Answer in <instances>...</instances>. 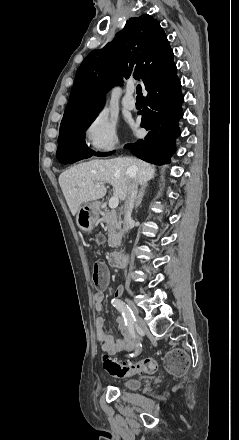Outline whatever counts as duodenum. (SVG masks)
<instances>
[{"instance_id":"410a0bca","label":"duodenum","mask_w":239,"mask_h":440,"mask_svg":"<svg viewBox=\"0 0 239 440\" xmlns=\"http://www.w3.org/2000/svg\"><path fill=\"white\" fill-rule=\"evenodd\" d=\"M108 261L112 267H123L126 262V256L121 252L114 251L109 254Z\"/></svg>"}]
</instances>
